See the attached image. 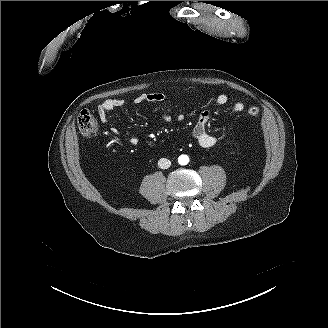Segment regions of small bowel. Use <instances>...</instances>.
I'll return each instance as SVG.
<instances>
[{"mask_svg": "<svg viewBox=\"0 0 328 328\" xmlns=\"http://www.w3.org/2000/svg\"><path fill=\"white\" fill-rule=\"evenodd\" d=\"M168 98V95L164 92H150L143 93L138 95L134 99V103L137 105L141 104H149V103H157L165 101ZM215 101L218 105H226L228 103V97L225 94H219L216 96ZM124 105V100L115 98V99H107L103 101L97 108L98 116L102 122H107L108 113L112 110L121 108ZM245 108V105L241 101H235L231 104V109L235 113H241ZM183 114L177 115V120L183 119ZM163 119L165 121H170L171 116L169 114H163ZM210 120V112L208 110H204L199 115V118L194 125L191 135L193 139L203 148H210L215 145L216 138L207 130V124ZM112 134H117L118 130L116 127H111L110 129ZM131 145H136L138 143V139L136 137H132L129 140Z\"/></svg>", "mask_w": 328, "mask_h": 328, "instance_id": "c3829d8e", "label": "small bowel"}]
</instances>
